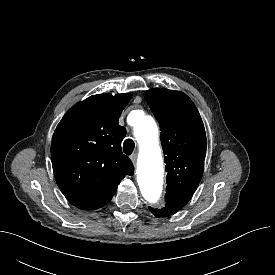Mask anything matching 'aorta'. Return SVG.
Returning a JSON list of instances; mask_svg holds the SVG:
<instances>
[{
    "label": "aorta",
    "mask_w": 275,
    "mask_h": 275,
    "mask_svg": "<svg viewBox=\"0 0 275 275\" xmlns=\"http://www.w3.org/2000/svg\"><path fill=\"white\" fill-rule=\"evenodd\" d=\"M136 138L140 144L138 183L146 202L155 208L163 205V159L158 147V128L152 117L140 115L136 127Z\"/></svg>",
    "instance_id": "762f6f07"
}]
</instances>
